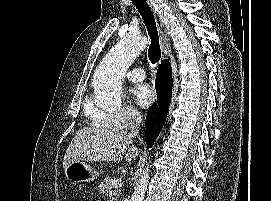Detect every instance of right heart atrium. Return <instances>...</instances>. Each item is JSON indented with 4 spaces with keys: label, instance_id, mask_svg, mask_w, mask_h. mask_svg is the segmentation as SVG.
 Wrapping results in <instances>:
<instances>
[{
    "label": "right heart atrium",
    "instance_id": "right-heart-atrium-1",
    "mask_svg": "<svg viewBox=\"0 0 271 201\" xmlns=\"http://www.w3.org/2000/svg\"><path fill=\"white\" fill-rule=\"evenodd\" d=\"M88 116L95 125L122 129L132 128L141 121L140 112L130 106H123L115 112H106L89 104Z\"/></svg>",
    "mask_w": 271,
    "mask_h": 201
}]
</instances>
